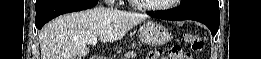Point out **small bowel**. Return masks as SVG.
<instances>
[{
  "label": "small bowel",
  "mask_w": 261,
  "mask_h": 59,
  "mask_svg": "<svg viewBox=\"0 0 261 59\" xmlns=\"http://www.w3.org/2000/svg\"><path fill=\"white\" fill-rule=\"evenodd\" d=\"M162 52L160 50H156L154 51L151 56H150V59H157V58H162L161 56H159V53ZM174 59V58H173Z\"/></svg>",
  "instance_id": "obj_1"
}]
</instances>
